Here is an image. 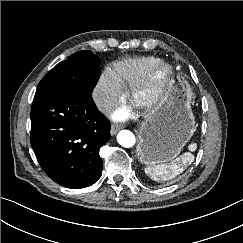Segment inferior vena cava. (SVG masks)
<instances>
[{
    "label": "inferior vena cava",
    "mask_w": 243,
    "mask_h": 243,
    "mask_svg": "<svg viewBox=\"0 0 243 243\" xmlns=\"http://www.w3.org/2000/svg\"><path fill=\"white\" fill-rule=\"evenodd\" d=\"M93 99L98 109L104 112L112 110L115 106V103L111 98L100 93H94Z\"/></svg>",
    "instance_id": "obj_1"
}]
</instances>
